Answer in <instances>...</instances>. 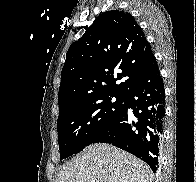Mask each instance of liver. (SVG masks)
Returning a JSON list of instances; mask_svg holds the SVG:
<instances>
[{
  "label": "liver",
  "instance_id": "1",
  "mask_svg": "<svg viewBox=\"0 0 196 182\" xmlns=\"http://www.w3.org/2000/svg\"><path fill=\"white\" fill-rule=\"evenodd\" d=\"M56 182H152L148 165L112 145L87 146L65 165Z\"/></svg>",
  "mask_w": 196,
  "mask_h": 182
}]
</instances>
